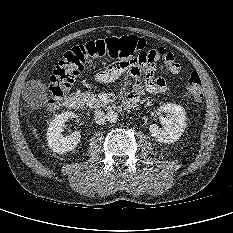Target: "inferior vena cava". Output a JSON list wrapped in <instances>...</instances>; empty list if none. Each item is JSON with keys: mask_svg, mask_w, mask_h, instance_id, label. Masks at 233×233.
<instances>
[{"mask_svg": "<svg viewBox=\"0 0 233 233\" xmlns=\"http://www.w3.org/2000/svg\"><path fill=\"white\" fill-rule=\"evenodd\" d=\"M95 122L98 124V125H103L105 124L106 122V115L103 111H101L100 109H96L95 110Z\"/></svg>", "mask_w": 233, "mask_h": 233, "instance_id": "602c4592", "label": "inferior vena cava"}]
</instances>
